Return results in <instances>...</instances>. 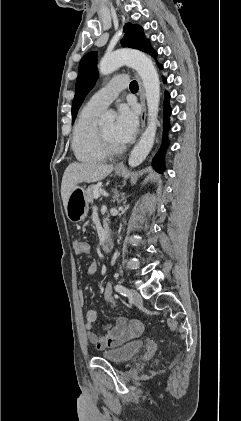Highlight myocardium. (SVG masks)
I'll use <instances>...</instances> for the list:
<instances>
[{"mask_svg": "<svg viewBox=\"0 0 241 421\" xmlns=\"http://www.w3.org/2000/svg\"><path fill=\"white\" fill-rule=\"evenodd\" d=\"M98 138H99V142L101 144L102 149L108 156L120 154L123 152L124 147L122 145L116 146L112 144L108 140V138L104 135V133L102 132L100 128H98Z\"/></svg>", "mask_w": 241, "mask_h": 421, "instance_id": "f54148a6", "label": "myocardium"}]
</instances>
